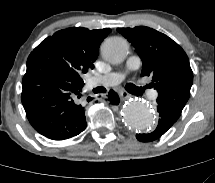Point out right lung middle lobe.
<instances>
[{"label":"right lung middle lobe","instance_id":"right-lung-middle-lobe-1","mask_svg":"<svg viewBox=\"0 0 215 183\" xmlns=\"http://www.w3.org/2000/svg\"><path fill=\"white\" fill-rule=\"evenodd\" d=\"M63 57L66 60L64 68L78 82H83L82 75L93 69L80 53L68 52L63 54Z\"/></svg>","mask_w":215,"mask_h":183}]
</instances>
